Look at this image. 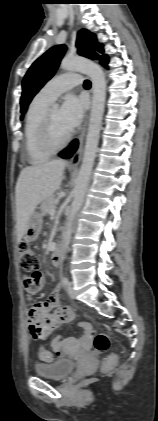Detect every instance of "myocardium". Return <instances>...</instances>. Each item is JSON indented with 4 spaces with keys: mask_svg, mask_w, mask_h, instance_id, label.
<instances>
[{
    "mask_svg": "<svg viewBox=\"0 0 158 421\" xmlns=\"http://www.w3.org/2000/svg\"><path fill=\"white\" fill-rule=\"evenodd\" d=\"M72 132H69L68 135L61 141H56L53 136L52 124H51V110L48 109L43 117L41 128H40V140L42 146L54 153L63 149L71 140Z\"/></svg>",
    "mask_w": 158,
    "mask_h": 421,
    "instance_id": "myocardium-1",
    "label": "myocardium"
}]
</instances>
